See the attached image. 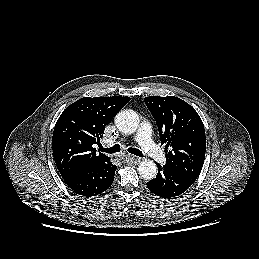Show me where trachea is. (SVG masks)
Masks as SVG:
<instances>
[{"mask_svg": "<svg viewBox=\"0 0 259 259\" xmlns=\"http://www.w3.org/2000/svg\"><path fill=\"white\" fill-rule=\"evenodd\" d=\"M120 149H121L120 145H118V144H115L114 146H112L110 148H104L103 146L99 147V150L101 152H105V153H109V154L120 152ZM128 152L131 154H134L136 156L143 157V153L139 149L131 147V148H128Z\"/></svg>", "mask_w": 259, "mask_h": 259, "instance_id": "trachea-1", "label": "trachea"}]
</instances>
